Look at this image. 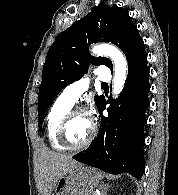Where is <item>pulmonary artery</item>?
Segmentation results:
<instances>
[{
  "mask_svg": "<svg viewBox=\"0 0 178 195\" xmlns=\"http://www.w3.org/2000/svg\"><path fill=\"white\" fill-rule=\"evenodd\" d=\"M95 75L98 80L103 84L110 82V71L107 66H99L95 69ZM90 85V76H84L81 79L69 84L66 86L62 93L61 97L69 102L70 104H75L81 95L89 88Z\"/></svg>",
  "mask_w": 178,
  "mask_h": 195,
  "instance_id": "1",
  "label": "pulmonary artery"
}]
</instances>
